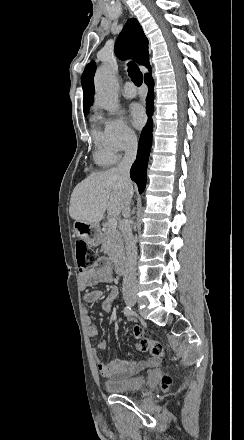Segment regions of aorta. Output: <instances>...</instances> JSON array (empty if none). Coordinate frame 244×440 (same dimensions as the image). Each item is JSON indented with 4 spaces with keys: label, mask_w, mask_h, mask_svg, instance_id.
Returning a JSON list of instances; mask_svg holds the SVG:
<instances>
[{
    "label": "aorta",
    "mask_w": 244,
    "mask_h": 440,
    "mask_svg": "<svg viewBox=\"0 0 244 440\" xmlns=\"http://www.w3.org/2000/svg\"><path fill=\"white\" fill-rule=\"evenodd\" d=\"M95 100L108 112L114 113L118 110V82L111 70L102 65L96 71L95 78Z\"/></svg>",
    "instance_id": "1"
}]
</instances>
